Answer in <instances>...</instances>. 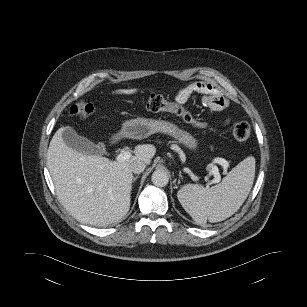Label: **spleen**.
I'll return each mask as SVG.
<instances>
[{
	"label": "spleen",
	"instance_id": "1",
	"mask_svg": "<svg viewBox=\"0 0 307 307\" xmlns=\"http://www.w3.org/2000/svg\"><path fill=\"white\" fill-rule=\"evenodd\" d=\"M255 177V158L249 156L234 167L222 182L205 188L187 184L177 192L184 210L197 223L223 221L239 210L251 191Z\"/></svg>",
	"mask_w": 307,
	"mask_h": 307
}]
</instances>
